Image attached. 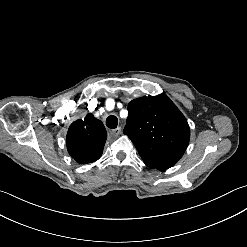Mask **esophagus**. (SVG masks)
<instances>
[{
  "instance_id": "obj_1",
  "label": "esophagus",
  "mask_w": 247,
  "mask_h": 247,
  "mask_svg": "<svg viewBox=\"0 0 247 247\" xmlns=\"http://www.w3.org/2000/svg\"><path fill=\"white\" fill-rule=\"evenodd\" d=\"M120 132H121V127H117L115 129L111 130V135L118 136L120 134Z\"/></svg>"
}]
</instances>
